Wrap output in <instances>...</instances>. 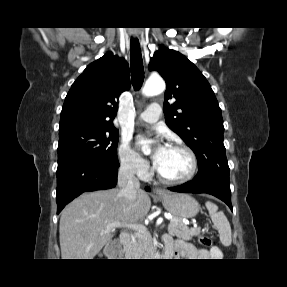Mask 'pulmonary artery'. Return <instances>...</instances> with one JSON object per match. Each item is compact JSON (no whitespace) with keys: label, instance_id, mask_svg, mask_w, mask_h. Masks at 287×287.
<instances>
[{"label":"pulmonary artery","instance_id":"1","mask_svg":"<svg viewBox=\"0 0 287 287\" xmlns=\"http://www.w3.org/2000/svg\"><path fill=\"white\" fill-rule=\"evenodd\" d=\"M161 109L157 104H150L147 109L139 116V120L145 123L153 124L158 121Z\"/></svg>","mask_w":287,"mask_h":287}]
</instances>
